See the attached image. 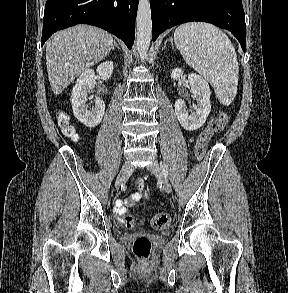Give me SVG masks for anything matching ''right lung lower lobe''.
<instances>
[{"instance_id":"1","label":"right lung lower lobe","mask_w":288,"mask_h":293,"mask_svg":"<svg viewBox=\"0 0 288 293\" xmlns=\"http://www.w3.org/2000/svg\"><path fill=\"white\" fill-rule=\"evenodd\" d=\"M139 0H47L41 45L56 31L76 24L101 27L131 49Z\"/></svg>"}]
</instances>
